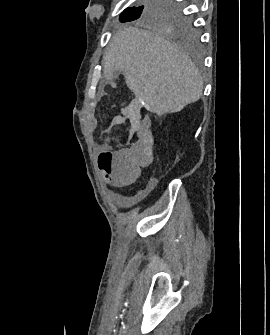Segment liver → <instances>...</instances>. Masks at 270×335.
<instances>
[{
	"instance_id": "liver-1",
	"label": "liver",
	"mask_w": 270,
	"mask_h": 335,
	"mask_svg": "<svg viewBox=\"0 0 270 335\" xmlns=\"http://www.w3.org/2000/svg\"><path fill=\"white\" fill-rule=\"evenodd\" d=\"M105 78L121 70L126 84L144 108L157 116L180 112L197 102L203 80L196 66L158 34L139 28H120L102 60Z\"/></svg>"
}]
</instances>
